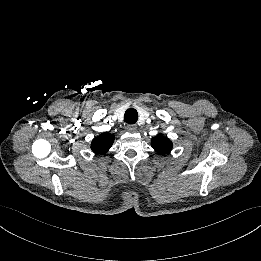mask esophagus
<instances>
[{"label": "esophagus", "mask_w": 261, "mask_h": 261, "mask_svg": "<svg viewBox=\"0 0 261 261\" xmlns=\"http://www.w3.org/2000/svg\"><path fill=\"white\" fill-rule=\"evenodd\" d=\"M126 129L129 132H135L137 130V125L136 124H128L126 126Z\"/></svg>", "instance_id": "esophagus-1"}]
</instances>
